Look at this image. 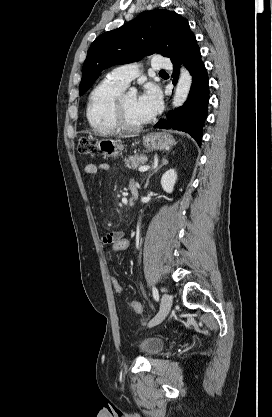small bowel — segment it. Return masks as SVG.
Here are the masks:
<instances>
[{"label":"small bowel","instance_id":"1","mask_svg":"<svg viewBox=\"0 0 272 417\" xmlns=\"http://www.w3.org/2000/svg\"><path fill=\"white\" fill-rule=\"evenodd\" d=\"M108 169H109V165L106 162H100L98 164H87V165H85L84 168H83V172H84L85 175H94L99 170H108ZM121 236H124V233L122 231L107 232L101 238L102 245L105 248H107L108 245L110 244V242L113 239H115L117 237H121ZM140 312H142V307L140 309Z\"/></svg>","mask_w":272,"mask_h":417}]
</instances>
